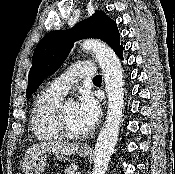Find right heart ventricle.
I'll use <instances>...</instances> for the list:
<instances>
[{
  "label": "right heart ventricle",
  "mask_w": 175,
  "mask_h": 174,
  "mask_svg": "<svg viewBox=\"0 0 175 174\" xmlns=\"http://www.w3.org/2000/svg\"><path fill=\"white\" fill-rule=\"evenodd\" d=\"M62 97L63 95L47 88L35 98L30 124L31 130L38 140L55 142L63 138L55 119Z\"/></svg>",
  "instance_id": "right-heart-ventricle-1"
}]
</instances>
